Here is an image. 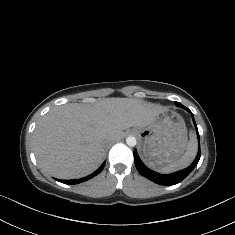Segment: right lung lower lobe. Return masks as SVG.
Segmentation results:
<instances>
[{
    "instance_id": "98d812e1",
    "label": "right lung lower lobe",
    "mask_w": 235,
    "mask_h": 235,
    "mask_svg": "<svg viewBox=\"0 0 235 235\" xmlns=\"http://www.w3.org/2000/svg\"><path fill=\"white\" fill-rule=\"evenodd\" d=\"M104 168V164H102L99 169H97L94 173L90 174L87 177L81 178V179H74V180H58L59 182L65 183V184H78L81 182H84L86 180H89L91 178H93L94 176L98 175L102 169Z\"/></svg>"
}]
</instances>
